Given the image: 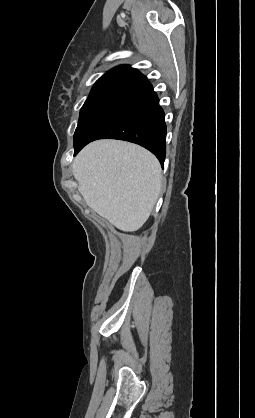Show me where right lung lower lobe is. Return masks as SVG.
Instances as JSON below:
<instances>
[{"mask_svg": "<svg viewBox=\"0 0 255 418\" xmlns=\"http://www.w3.org/2000/svg\"><path fill=\"white\" fill-rule=\"evenodd\" d=\"M119 139L139 144L164 165L166 124L164 112L152 85L146 79L112 97L92 118L74 143L76 155L97 139Z\"/></svg>", "mask_w": 255, "mask_h": 418, "instance_id": "1", "label": "right lung lower lobe"}]
</instances>
